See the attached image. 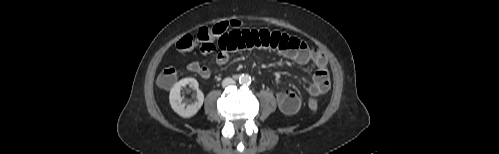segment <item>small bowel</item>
Wrapping results in <instances>:
<instances>
[{"instance_id":"1","label":"small bowel","mask_w":499,"mask_h":154,"mask_svg":"<svg viewBox=\"0 0 499 154\" xmlns=\"http://www.w3.org/2000/svg\"><path fill=\"white\" fill-rule=\"evenodd\" d=\"M218 48L216 62L219 65L227 63L232 52L253 48L275 50L284 57L300 64H313L316 67L308 92L310 97H318L328 92L330 88V73L328 62L323 52L317 48H310L306 43L287 34L270 31L265 28L241 29L236 28L219 36L216 40L203 42L200 53L209 55ZM188 70L199 74L202 78L210 77V69L199 61L188 65ZM280 111L286 115L295 114L301 107L299 96L291 90H282L276 95Z\"/></svg>"}]
</instances>
